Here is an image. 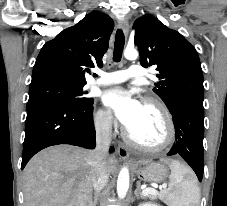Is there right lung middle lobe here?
<instances>
[{"mask_svg":"<svg viewBox=\"0 0 227 206\" xmlns=\"http://www.w3.org/2000/svg\"><path fill=\"white\" fill-rule=\"evenodd\" d=\"M85 84H76L64 80L46 79L33 82L29 88L27 109L45 103L82 107L93 98L84 97Z\"/></svg>","mask_w":227,"mask_h":206,"instance_id":"1","label":"right lung middle lobe"}]
</instances>
